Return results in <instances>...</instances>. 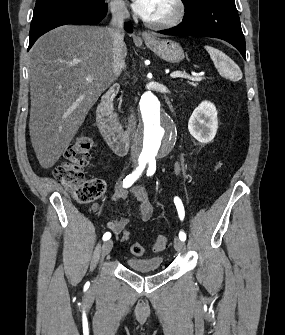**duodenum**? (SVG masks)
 Masks as SVG:
<instances>
[{
  "mask_svg": "<svg viewBox=\"0 0 285 335\" xmlns=\"http://www.w3.org/2000/svg\"><path fill=\"white\" fill-rule=\"evenodd\" d=\"M119 92V85H112L102 96L97 108L99 130L112 150L118 155H125L130 148V135L123 129L113 112L114 99Z\"/></svg>",
  "mask_w": 285,
  "mask_h": 335,
  "instance_id": "410a0bca",
  "label": "duodenum"
}]
</instances>
